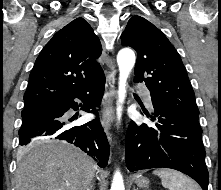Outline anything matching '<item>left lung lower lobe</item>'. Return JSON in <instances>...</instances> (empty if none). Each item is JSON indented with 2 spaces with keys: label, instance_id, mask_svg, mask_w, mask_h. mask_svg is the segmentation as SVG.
I'll list each match as a JSON object with an SVG mask.
<instances>
[{
  "label": "left lung lower lobe",
  "instance_id": "0a47b994",
  "mask_svg": "<svg viewBox=\"0 0 221 190\" xmlns=\"http://www.w3.org/2000/svg\"><path fill=\"white\" fill-rule=\"evenodd\" d=\"M153 126L131 121L126 132V166L129 171L172 168L181 171L208 190L202 129L198 119L154 105Z\"/></svg>",
  "mask_w": 221,
  "mask_h": 190
}]
</instances>
